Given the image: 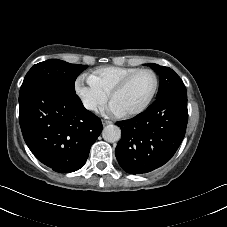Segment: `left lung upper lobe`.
Returning <instances> with one entry per match:
<instances>
[{"mask_svg": "<svg viewBox=\"0 0 227 227\" xmlns=\"http://www.w3.org/2000/svg\"><path fill=\"white\" fill-rule=\"evenodd\" d=\"M148 65L160 75V85L156 99L172 92H187L183 81L172 69L154 63Z\"/></svg>", "mask_w": 227, "mask_h": 227, "instance_id": "left-lung-upper-lobe-1", "label": "left lung upper lobe"}]
</instances>
